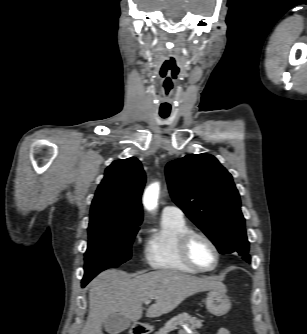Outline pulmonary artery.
I'll return each instance as SVG.
<instances>
[{
  "label": "pulmonary artery",
  "mask_w": 307,
  "mask_h": 334,
  "mask_svg": "<svg viewBox=\"0 0 307 334\" xmlns=\"http://www.w3.org/2000/svg\"><path fill=\"white\" fill-rule=\"evenodd\" d=\"M162 216L175 219H184L183 211L175 205L165 206L162 210Z\"/></svg>",
  "instance_id": "pulmonary-artery-1"
}]
</instances>
